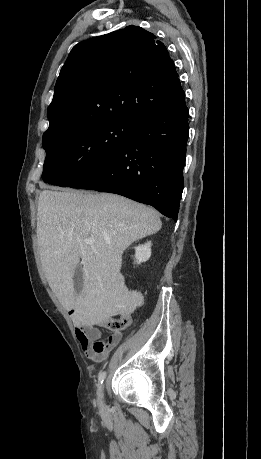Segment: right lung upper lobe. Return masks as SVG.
Returning a JSON list of instances; mask_svg holds the SVG:
<instances>
[{
    "instance_id": "1",
    "label": "right lung upper lobe",
    "mask_w": 261,
    "mask_h": 459,
    "mask_svg": "<svg viewBox=\"0 0 261 459\" xmlns=\"http://www.w3.org/2000/svg\"><path fill=\"white\" fill-rule=\"evenodd\" d=\"M185 95L164 44L136 26L78 43L48 107L53 132H80L114 120L137 123Z\"/></svg>"
}]
</instances>
